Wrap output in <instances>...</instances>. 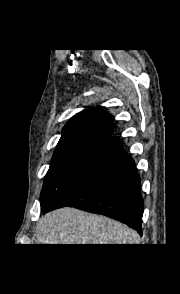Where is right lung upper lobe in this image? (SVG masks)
Returning <instances> with one entry per match:
<instances>
[{"mask_svg": "<svg viewBox=\"0 0 180 294\" xmlns=\"http://www.w3.org/2000/svg\"><path fill=\"white\" fill-rule=\"evenodd\" d=\"M112 130L113 122L108 113L93 107L76 114L67 122L57 146L76 142L101 144L111 137Z\"/></svg>", "mask_w": 180, "mask_h": 294, "instance_id": "right-lung-upper-lobe-1", "label": "right lung upper lobe"}]
</instances>
